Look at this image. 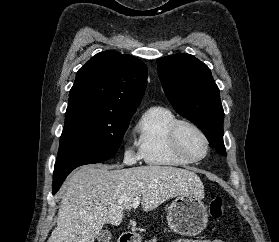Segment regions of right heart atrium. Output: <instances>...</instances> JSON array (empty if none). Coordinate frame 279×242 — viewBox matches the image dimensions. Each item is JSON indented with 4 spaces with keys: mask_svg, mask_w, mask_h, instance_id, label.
<instances>
[{
    "mask_svg": "<svg viewBox=\"0 0 279 242\" xmlns=\"http://www.w3.org/2000/svg\"><path fill=\"white\" fill-rule=\"evenodd\" d=\"M141 158L139 151H135L128 144L122 146V159L127 165L136 163Z\"/></svg>",
    "mask_w": 279,
    "mask_h": 242,
    "instance_id": "1",
    "label": "right heart atrium"
}]
</instances>
